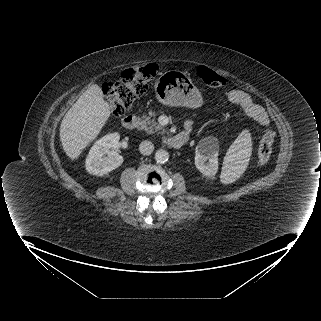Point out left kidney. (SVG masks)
Wrapping results in <instances>:
<instances>
[{"instance_id":"1","label":"left kidney","mask_w":321,"mask_h":321,"mask_svg":"<svg viewBox=\"0 0 321 321\" xmlns=\"http://www.w3.org/2000/svg\"><path fill=\"white\" fill-rule=\"evenodd\" d=\"M218 152L219 147L217 144V140L214 137H207L200 141L196 146L195 166L203 175L212 177L217 173ZM206 161L208 162L205 163ZM245 169L246 167L244 168V171Z\"/></svg>"}]
</instances>
